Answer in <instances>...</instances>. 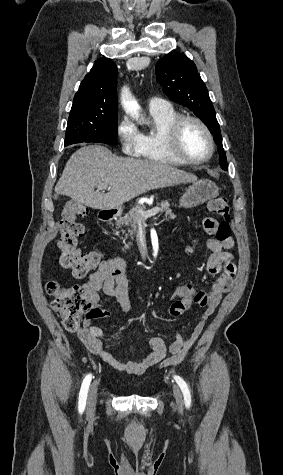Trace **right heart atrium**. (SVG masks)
I'll return each instance as SVG.
<instances>
[{
  "label": "right heart atrium",
  "instance_id": "obj_1",
  "mask_svg": "<svg viewBox=\"0 0 283 475\" xmlns=\"http://www.w3.org/2000/svg\"><path fill=\"white\" fill-rule=\"evenodd\" d=\"M126 79L128 78L126 77ZM115 131L119 138L123 155H129V159L140 157L143 141L132 120L127 116L121 117L116 124Z\"/></svg>",
  "mask_w": 283,
  "mask_h": 475
}]
</instances>
